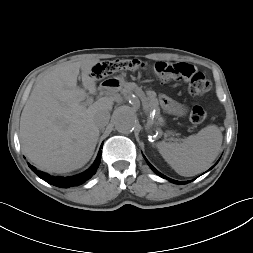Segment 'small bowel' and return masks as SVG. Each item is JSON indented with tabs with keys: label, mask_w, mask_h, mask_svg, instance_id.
Wrapping results in <instances>:
<instances>
[{
	"label": "small bowel",
	"mask_w": 253,
	"mask_h": 253,
	"mask_svg": "<svg viewBox=\"0 0 253 253\" xmlns=\"http://www.w3.org/2000/svg\"><path fill=\"white\" fill-rule=\"evenodd\" d=\"M161 102L163 106L170 112L177 114V115H182L185 113L186 109L183 105L181 104H175L171 101H169L166 97L162 96L161 97Z\"/></svg>",
	"instance_id": "small-bowel-1"
}]
</instances>
